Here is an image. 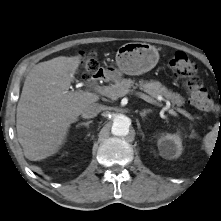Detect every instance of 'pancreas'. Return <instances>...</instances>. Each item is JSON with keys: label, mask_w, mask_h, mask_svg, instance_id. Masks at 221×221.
<instances>
[{"label": "pancreas", "mask_w": 221, "mask_h": 221, "mask_svg": "<svg viewBox=\"0 0 221 221\" xmlns=\"http://www.w3.org/2000/svg\"><path fill=\"white\" fill-rule=\"evenodd\" d=\"M136 85L141 90L149 94L153 98H157L158 96H163L166 99H169L173 104L177 106H181L184 103V99L177 93L169 91L166 87H164L160 82L150 80L145 81L143 79L139 80L138 83H135V80L132 79H121L115 82V84H111L109 86L113 92V94L117 95V98L120 97V93L123 90H129L132 86Z\"/></svg>", "instance_id": "1"}]
</instances>
